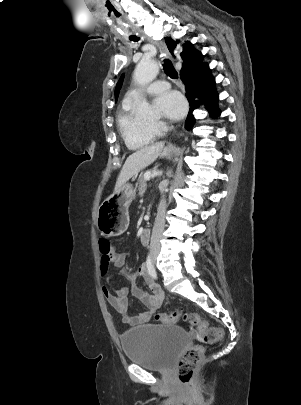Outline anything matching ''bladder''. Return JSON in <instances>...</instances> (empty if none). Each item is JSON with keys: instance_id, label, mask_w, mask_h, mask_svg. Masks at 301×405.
Here are the masks:
<instances>
[{"instance_id": "bladder-1", "label": "bladder", "mask_w": 301, "mask_h": 405, "mask_svg": "<svg viewBox=\"0 0 301 405\" xmlns=\"http://www.w3.org/2000/svg\"><path fill=\"white\" fill-rule=\"evenodd\" d=\"M120 340L130 362L165 373L187 346L188 334L177 326L148 324L125 331Z\"/></svg>"}]
</instances>
